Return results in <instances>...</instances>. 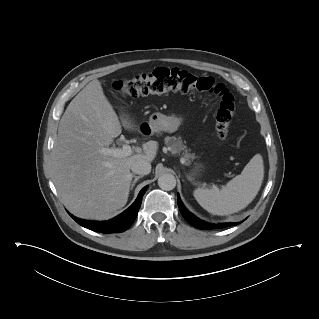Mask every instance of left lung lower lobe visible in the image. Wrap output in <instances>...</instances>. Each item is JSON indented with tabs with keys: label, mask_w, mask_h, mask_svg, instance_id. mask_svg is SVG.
I'll return each mask as SVG.
<instances>
[{
	"label": "left lung lower lobe",
	"mask_w": 319,
	"mask_h": 319,
	"mask_svg": "<svg viewBox=\"0 0 319 319\" xmlns=\"http://www.w3.org/2000/svg\"><path fill=\"white\" fill-rule=\"evenodd\" d=\"M178 206L180 209L181 214L183 215V217L194 227L198 228V229H204V230H211V229H220V228H225L228 226H234L237 225L239 223H234V222H230V223H223V224H211V223H207L205 221H202L200 219H198L197 217H195L193 214H191L189 211H187V209L183 206L180 197L178 196Z\"/></svg>",
	"instance_id": "left-lung-lower-lobe-1"
}]
</instances>
